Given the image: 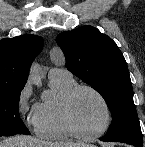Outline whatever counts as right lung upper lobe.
<instances>
[{"label": "right lung upper lobe", "instance_id": "right-lung-upper-lobe-1", "mask_svg": "<svg viewBox=\"0 0 145 147\" xmlns=\"http://www.w3.org/2000/svg\"><path fill=\"white\" fill-rule=\"evenodd\" d=\"M42 47L43 39L36 35L0 40V92L24 87L30 64Z\"/></svg>", "mask_w": 145, "mask_h": 147}]
</instances>
